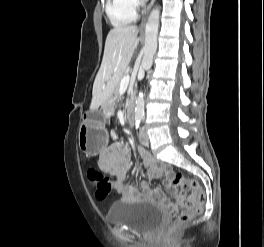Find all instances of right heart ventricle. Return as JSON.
<instances>
[{
    "label": "right heart ventricle",
    "instance_id": "e07e8e85",
    "mask_svg": "<svg viewBox=\"0 0 264 247\" xmlns=\"http://www.w3.org/2000/svg\"><path fill=\"white\" fill-rule=\"evenodd\" d=\"M106 12L111 23L117 27L136 20V12L127 7L125 0H108Z\"/></svg>",
    "mask_w": 264,
    "mask_h": 247
}]
</instances>
